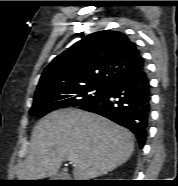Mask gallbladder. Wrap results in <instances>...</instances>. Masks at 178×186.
Returning a JSON list of instances; mask_svg holds the SVG:
<instances>
[{
	"instance_id": "gallbladder-1",
	"label": "gallbladder",
	"mask_w": 178,
	"mask_h": 186,
	"mask_svg": "<svg viewBox=\"0 0 178 186\" xmlns=\"http://www.w3.org/2000/svg\"><path fill=\"white\" fill-rule=\"evenodd\" d=\"M64 173L61 172V173H57L56 175H54V179H60L61 177H63Z\"/></svg>"
}]
</instances>
